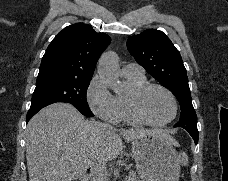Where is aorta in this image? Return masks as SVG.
Segmentation results:
<instances>
[{"instance_id":"aorta-1","label":"aorta","mask_w":228,"mask_h":181,"mask_svg":"<svg viewBox=\"0 0 228 181\" xmlns=\"http://www.w3.org/2000/svg\"><path fill=\"white\" fill-rule=\"evenodd\" d=\"M98 74L115 92L121 89L119 81L120 68L116 53L108 51L102 54L99 59Z\"/></svg>"}]
</instances>
